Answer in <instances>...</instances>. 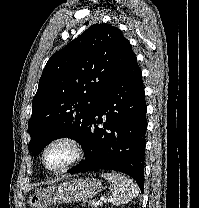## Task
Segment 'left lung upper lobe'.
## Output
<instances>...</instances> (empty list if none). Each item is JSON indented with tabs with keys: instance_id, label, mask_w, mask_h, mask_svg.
I'll use <instances>...</instances> for the list:
<instances>
[{
	"instance_id": "1",
	"label": "left lung upper lobe",
	"mask_w": 199,
	"mask_h": 208,
	"mask_svg": "<svg viewBox=\"0 0 199 208\" xmlns=\"http://www.w3.org/2000/svg\"><path fill=\"white\" fill-rule=\"evenodd\" d=\"M135 57L130 42L109 24H94L48 60L28 122V149L73 137L83 144L101 94Z\"/></svg>"
}]
</instances>
